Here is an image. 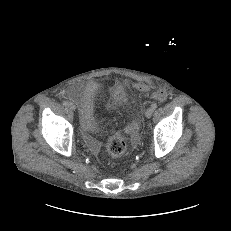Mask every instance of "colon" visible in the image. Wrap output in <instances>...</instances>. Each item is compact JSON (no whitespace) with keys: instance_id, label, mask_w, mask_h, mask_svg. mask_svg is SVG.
<instances>
[{"instance_id":"colon-1","label":"colon","mask_w":231,"mask_h":231,"mask_svg":"<svg viewBox=\"0 0 231 231\" xmlns=\"http://www.w3.org/2000/svg\"><path fill=\"white\" fill-rule=\"evenodd\" d=\"M136 89L139 91H147L149 89L148 85L145 83H136ZM113 94L118 97L125 96V87L122 84H116L113 87ZM153 97L164 101L166 99V93L163 90H158L154 92ZM126 150V141L123 136L119 134L112 135L107 142V153L111 158H118L124 154Z\"/></svg>"}]
</instances>
